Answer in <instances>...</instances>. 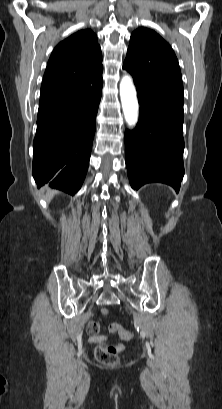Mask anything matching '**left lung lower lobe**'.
Listing matches in <instances>:
<instances>
[{
	"label": "left lung lower lobe",
	"instance_id": "obj_1",
	"mask_svg": "<svg viewBox=\"0 0 222 409\" xmlns=\"http://www.w3.org/2000/svg\"><path fill=\"white\" fill-rule=\"evenodd\" d=\"M139 123L125 131L126 166L130 184L138 189L162 182L179 190L183 166V102L151 88L136 85Z\"/></svg>",
	"mask_w": 222,
	"mask_h": 409
}]
</instances>
